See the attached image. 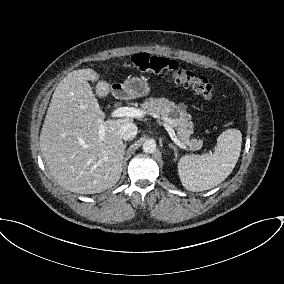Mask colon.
Masks as SVG:
<instances>
[{"instance_id":"1","label":"colon","mask_w":284,"mask_h":284,"mask_svg":"<svg viewBox=\"0 0 284 284\" xmlns=\"http://www.w3.org/2000/svg\"><path fill=\"white\" fill-rule=\"evenodd\" d=\"M132 63L137 70L143 73H170L177 83L191 87L196 94L204 99L212 100L214 98V87L207 78L196 76L191 71L180 68L174 60L148 53H139L132 57Z\"/></svg>"}]
</instances>
